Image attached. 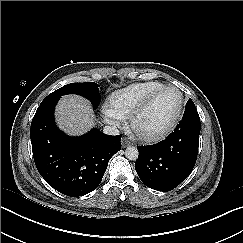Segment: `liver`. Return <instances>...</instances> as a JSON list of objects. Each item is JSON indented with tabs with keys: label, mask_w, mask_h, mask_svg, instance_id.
Listing matches in <instances>:
<instances>
[{
	"label": "liver",
	"mask_w": 243,
	"mask_h": 243,
	"mask_svg": "<svg viewBox=\"0 0 243 243\" xmlns=\"http://www.w3.org/2000/svg\"><path fill=\"white\" fill-rule=\"evenodd\" d=\"M56 122L70 135H81L95 125L91 104L78 95L63 96L56 107Z\"/></svg>",
	"instance_id": "liver-1"
}]
</instances>
